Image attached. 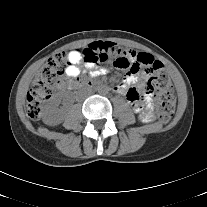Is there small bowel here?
<instances>
[{"mask_svg": "<svg viewBox=\"0 0 207 207\" xmlns=\"http://www.w3.org/2000/svg\"><path fill=\"white\" fill-rule=\"evenodd\" d=\"M69 65L66 68V75L71 78L68 84V88L73 89L77 86L76 78L80 74H88L94 78L100 75H105L107 70L105 68H95L92 65L87 64L86 68H81L82 55L79 50H71L68 53ZM140 71L132 72L128 69V73L124 80L118 84L114 91L117 94L127 97L129 104L134 112L139 114L140 119L144 122H150L153 119V103L152 98L146 91V83L142 79Z\"/></svg>", "mask_w": 207, "mask_h": 207, "instance_id": "c3829d8e", "label": "small bowel"}]
</instances>
